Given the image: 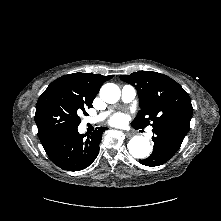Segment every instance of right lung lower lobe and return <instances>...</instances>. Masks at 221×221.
I'll return each mask as SVG.
<instances>
[{
	"label": "right lung lower lobe",
	"mask_w": 221,
	"mask_h": 221,
	"mask_svg": "<svg viewBox=\"0 0 221 221\" xmlns=\"http://www.w3.org/2000/svg\"><path fill=\"white\" fill-rule=\"evenodd\" d=\"M105 127H99L88 135L79 134L77 128L54 133L41 143L58 167L68 171H80L93 163L99 153V144Z\"/></svg>",
	"instance_id": "right-lung-lower-lobe-1"
}]
</instances>
